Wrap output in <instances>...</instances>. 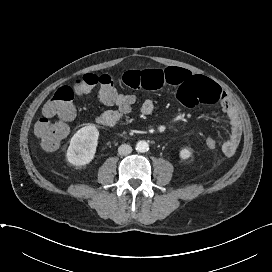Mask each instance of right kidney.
<instances>
[{"label":"right kidney","instance_id":"ca27d5eb","mask_svg":"<svg viewBox=\"0 0 272 272\" xmlns=\"http://www.w3.org/2000/svg\"><path fill=\"white\" fill-rule=\"evenodd\" d=\"M98 137L99 131L93 125L79 129L71 138L66 153L67 161L78 167L89 164L94 159Z\"/></svg>","mask_w":272,"mask_h":272}]
</instances>
